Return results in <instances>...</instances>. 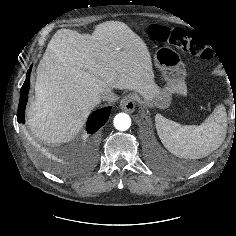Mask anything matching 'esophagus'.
<instances>
[{
    "label": "esophagus",
    "mask_w": 236,
    "mask_h": 236,
    "mask_svg": "<svg viewBox=\"0 0 236 236\" xmlns=\"http://www.w3.org/2000/svg\"><path fill=\"white\" fill-rule=\"evenodd\" d=\"M120 107L123 111L127 113H132L136 107V95L130 93L126 95L120 102Z\"/></svg>",
    "instance_id": "1"
}]
</instances>
